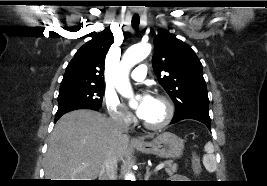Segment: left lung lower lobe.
Returning a JSON list of instances; mask_svg holds the SVG:
<instances>
[{
	"label": "left lung lower lobe",
	"instance_id": "left-lung-lower-lobe-1",
	"mask_svg": "<svg viewBox=\"0 0 267 186\" xmlns=\"http://www.w3.org/2000/svg\"><path fill=\"white\" fill-rule=\"evenodd\" d=\"M184 119H194V120L204 123L209 129L211 128V119L209 117V114L203 113V112L193 111V112L177 114L174 116L171 123H177Z\"/></svg>",
	"mask_w": 267,
	"mask_h": 186
}]
</instances>
